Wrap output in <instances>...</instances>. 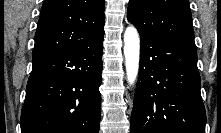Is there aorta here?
Here are the masks:
<instances>
[{"label":"aorta","instance_id":"1","mask_svg":"<svg viewBox=\"0 0 221 133\" xmlns=\"http://www.w3.org/2000/svg\"><path fill=\"white\" fill-rule=\"evenodd\" d=\"M124 56L127 80L133 85L139 72L140 39L135 27L129 26L124 33Z\"/></svg>","mask_w":221,"mask_h":133}]
</instances>
